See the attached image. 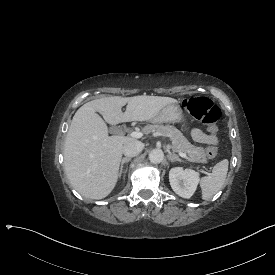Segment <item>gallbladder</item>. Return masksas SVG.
Returning <instances> with one entry per match:
<instances>
[{"label": "gallbladder", "mask_w": 275, "mask_h": 275, "mask_svg": "<svg viewBox=\"0 0 275 275\" xmlns=\"http://www.w3.org/2000/svg\"><path fill=\"white\" fill-rule=\"evenodd\" d=\"M109 131H110V133L115 134V133L118 131V128L112 126V127H110V130H109Z\"/></svg>", "instance_id": "1"}]
</instances>
